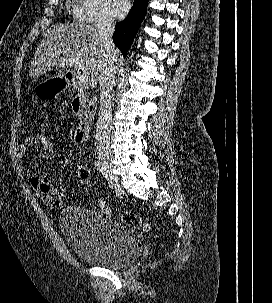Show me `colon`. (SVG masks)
I'll return each instance as SVG.
<instances>
[{
    "label": "colon",
    "instance_id": "5ec220e1",
    "mask_svg": "<svg viewBox=\"0 0 272 303\" xmlns=\"http://www.w3.org/2000/svg\"><path fill=\"white\" fill-rule=\"evenodd\" d=\"M35 148L41 152L48 153L51 152L54 144L52 139L44 133L35 135ZM77 175L81 184L85 187L86 191L90 194L91 181H90V171L84 164H79L77 166ZM43 201L45 205L51 209L60 208L62 205L61 195L57 191H52L45 196H43ZM93 201L100 207L102 211L109 214L117 213L114 209L106 206L100 201L93 198ZM121 220L127 225L133 228H141L144 230L150 229V224L144 221L139 215L132 212H122L119 213Z\"/></svg>",
    "mask_w": 272,
    "mask_h": 303
}]
</instances>
